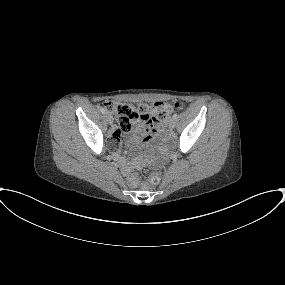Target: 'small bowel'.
Returning a JSON list of instances; mask_svg holds the SVG:
<instances>
[{
  "label": "small bowel",
  "instance_id": "small-bowel-1",
  "mask_svg": "<svg viewBox=\"0 0 285 285\" xmlns=\"http://www.w3.org/2000/svg\"><path fill=\"white\" fill-rule=\"evenodd\" d=\"M154 125H155V122L152 120L151 121L149 120V121H146V122H143V123L137 125L135 127L136 134L132 137L131 141L136 142L137 140H139L143 136L149 135L151 133ZM158 127L161 128L160 126H158ZM123 136H124L123 132H121L120 130L114 129L112 131L111 136L109 137V139L107 141V144H106L107 148L109 150H112V151L118 150L121 147V138ZM115 160L117 162H119L122 167H125V163L121 157L115 156ZM128 181H129V184L131 186H134L136 179L134 176H130L128 178Z\"/></svg>",
  "mask_w": 285,
  "mask_h": 285
}]
</instances>
